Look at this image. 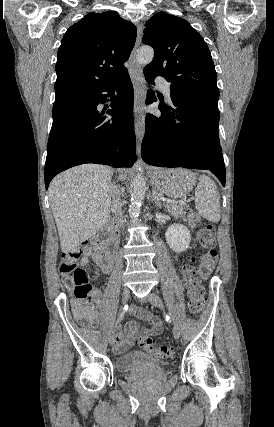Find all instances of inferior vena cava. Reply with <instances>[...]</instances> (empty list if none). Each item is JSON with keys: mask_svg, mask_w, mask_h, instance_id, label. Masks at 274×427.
Wrapping results in <instances>:
<instances>
[{"mask_svg": "<svg viewBox=\"0 0 274 427\" xmlns=\"http://www.w3.org/2000/svg\"><path fill=\"white\" fill-rule=\"evenodd\" d=\"M111 208L115 214L118 225H122V223H123L122 202L120 200V194H119L118 190H115V192L112 196Z\"/></svg>", "mask_w": 274, "mask_h": 427, "instance_id": "1", "label": "inferior vena cava"}]
</instances>
